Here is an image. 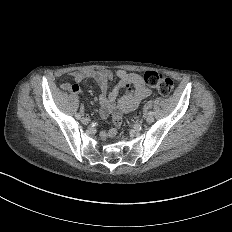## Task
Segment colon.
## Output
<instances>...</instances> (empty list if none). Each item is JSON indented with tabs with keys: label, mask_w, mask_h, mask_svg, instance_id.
Segmentation results:
<instances>
[{
	"label": "colon",
	"mask_w": 232,
	"mask_h": 232,
	"mask_svg": "<svg viewBox=\"0 0 232 232\" xmlns=\"http://www.w3.org/2000/svg\"><path fill=\"white\" fill-rule=\"evenodd\" d=\"M144 81L152 86V91H159V95H162L163 98H170L172 90H169V86H175V81H170L166 76H161L157 80V76L153 72L146 73Z\"/></svg>",
	"instance_id": "5ec220e1"
}]
</instances>
